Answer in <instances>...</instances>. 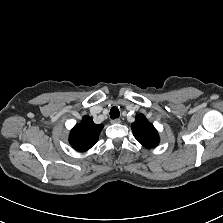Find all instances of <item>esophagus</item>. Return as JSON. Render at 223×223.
Instances as JSON below:
<instances>
[{"label":"esophagus","instance_id":"obj_1","mask_svg":"<svg viewBox=\"0 0 223 223\" xmlns=\"http://www.w3.org/2000/svg\"><path fill=\"white\" fill-rule=\"evenodd\" d=\"M121 120L119 118H115L111 120V124H119Z\"/></svg>","mask_w":223,"mask_h":223}]
</instances>
